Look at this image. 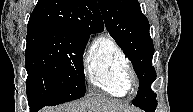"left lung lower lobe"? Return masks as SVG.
Returning a JSON list of instances; mask_svg holds the SVG:
<instances>
[{"label":"left lung lower lobe","mask_w":193,"mask_h":112,"mask_svg":"<svg viewBox=\"0 0 193 112\" xmlns=\"http://www.w3.org/2000/svg\"><path fill=\"white\" fill-rule=\"evenodd\" d=\"M156 106H157V102H154V103H152V104H150L148 106H145V107H143L141 109L145 110L146 112H154L155 109H156Z\"/></svg>","instance_id":"0a47b994"}]
</instances>
